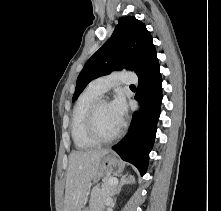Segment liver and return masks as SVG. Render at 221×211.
Instances as JSON below:
<instances>
[{"label":"liver","instance_id":"liver-1","mask_svg":"<svg viewBox=\"0 0 221 211\" xmlns=\"http://www.w3.org/2000/svg\"><path fill=\"white\" fill-rule=\"evenodd\" d=\"M106 149L74 151L69 156L63 211H81L91 180L97 175Z\"/></svg>","mask_w":221,"mask_h":211}]
</instances>
